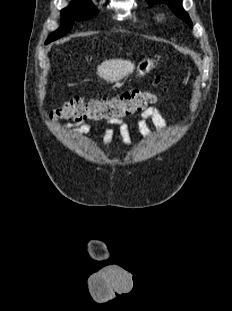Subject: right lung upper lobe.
I'll use <instances>...</instances> for the list:
<instances>
[{
    "mask_svg": "<svg viewBox=\"0 0 232 311\" xmlns=\"http://www.w3.org/2000/svg\"><path fill=\"white\" fill-rule=\"evenodd\" d=\"M73 1H90L91 2V0H72V2Z\"/></svg>",
    "mask_w": 232,
    "mask_h": 311,
    "instance_id": "1",
    "label": "right lung upper lobe"
}]
</instances>
